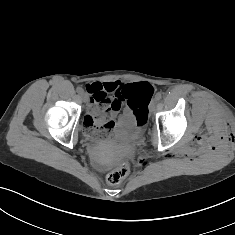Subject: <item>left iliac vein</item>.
Returning a JSON list of instances; mask_svg holds the SVG:
<instances>
[{"label": "left iliac vein", "instance_id": "1", "mask_svg": "<svg viewBox=\"0 0 235 235\" xmlns=\"http://www.w3.org/2000/svg\"><path fill=\"white\" fill-rule=\"evenodd\" d=\"M156 103H157V100L156 99H153L149 105V110L150 112H154L155 111V108H156Z\"/></svg>", "mask_w": 235, "mask_h": 235}]
</instances>
